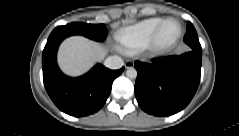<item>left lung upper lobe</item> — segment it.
Listing matches in <instances>:
<instances>
[{
  "label": "left lung upper lobe",
  "mask_w": 239,
  "mask_h": 136,
  "mask_svg": "<svg viewBox=\"0 0 239 136\" xmlns=\"http://www.w3.org/2000/svg\"><path fill=\"white\" fill-rule=\"evenodd\" d=\"M184 42L190 46L191 50L202 53V48L198 40L197 32L191 22H188Z\"/></svg>",
  "instance_id": "left-lung-upper-lobe-1"
}]
</instances>
